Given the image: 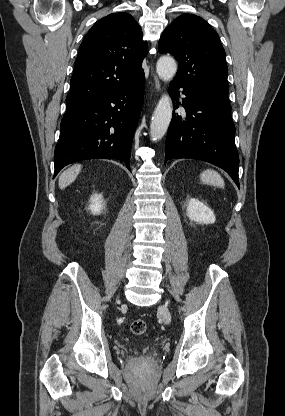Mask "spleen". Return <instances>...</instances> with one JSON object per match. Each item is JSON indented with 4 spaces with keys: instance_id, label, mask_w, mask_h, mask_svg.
<instances>
[{
    "instance_id": "1",
    "label": "spleen",
    "mask_w": 285,
    "mask_h": 416,
    "mask_svg": "<svg viewBox=\"0 0 285 416\" xmlns=\"http://www.w3.org/2000/svg\"><path fill=\"white\" fill-rule=\"evenodd\" d=\"M201 182L203 184H208V186H216V188H225L224 180L221 178L218 172L214 170H205L200 176Z\"/></svg>"
}]
</instances>
